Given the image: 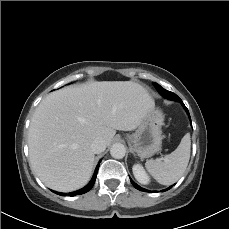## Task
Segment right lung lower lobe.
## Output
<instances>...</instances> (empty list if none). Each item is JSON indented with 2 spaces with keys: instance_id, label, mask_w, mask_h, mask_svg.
<instances>
[{
  "instance_id": "98d812e1",
  "label": "right lung lower lobe",
  "mask_w": 229,
  "mask_h": 229,
  "mask_svg": "<svg viewBox=\"0 0 229 229\" xmlns=\"http://www.w3.org/2000/svg\"><path fill=\"white\" fill-rule=\"evenodd\" d=\"M98 168H99V165H97L91 181L84 188H82V189H80L78 191L72 192L69 195L75 196L77 194H83V193L88 192L93 187V185L95 183L97 172H98ZM53 192L56 193V194H58V195H61V196H65L66 195L65 193H59V192H55V191H53Z\"/></svg>"
}]
</instances>
